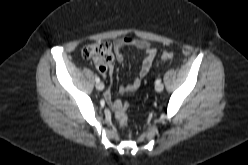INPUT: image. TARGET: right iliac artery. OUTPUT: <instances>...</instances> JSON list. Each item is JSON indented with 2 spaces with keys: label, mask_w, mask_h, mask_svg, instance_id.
<instances>
[{
  "label": "right iliac artery",
  "mask_w": 248,
  "mask_h": 165,
  "mask_svg": "<svg viewBox=\"0 0 248 165\" xmlns=\"http://www.w3.org/2000/svg\"><path fill=\"white\" fill-rule=\"evenodd\" d=\"M95 81L98 83V82H100V78L99 77H96L95 78Z\"/></svg>",
  "instance_id": "right-iliac-artery-1"
}]
</instances>
